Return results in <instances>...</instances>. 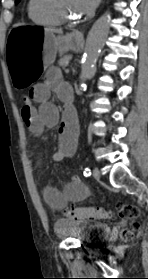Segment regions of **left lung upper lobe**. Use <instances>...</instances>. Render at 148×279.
Masks as SVG:
<instances>
[{
    "label": "left lung upper lobe",
    "mask_w": 148,
    "mask_h": 279,
    "mask_svg": "<svg viewBox=\"0 0 148 279\" xmlns=\"http://www.w3.org/2000/svg\"><path fill=\"white\" fill-rule=\"evenodd\" d=\"M20 0H16L15 3H18Z\"/></svg>",
    "instance_id": "1"
}]
</instances>
